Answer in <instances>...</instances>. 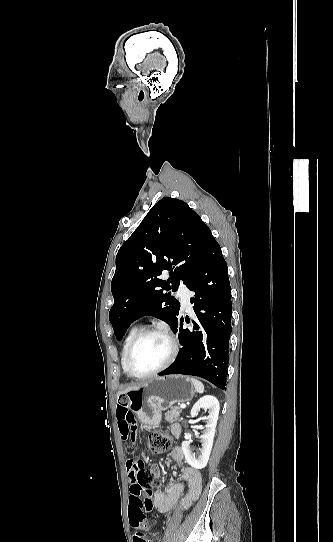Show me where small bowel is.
<instances>
[{
	"label": "small bowel",
	"instance_id": "c3829d8e",
	"mask_svg": "<svg viewBox=\"0 0 333 542\" xmlns=\"http://www.w3.org/2000/svg\"><path fill=\"white\" fill-rule=\"evenodd\" d=\"M116 417L118 419V431L121 440L126 443H134L136 439L137 425L135 424L134 416L130 409L123 404H118L116 408ZM171 432L173 435L179 436L181 433V427L178 424H173L171 426ZM171 457L175 463L182 466L183 451L180 447L173 448L171 451ZM133 466V461L127 463V468L132 479ZM184 483L187 484L188 490L186 495L180 500L179 511L188 509L201 494L202 476L197 469L182 466L181 473L177 480L168 484L164 490L157 489L155 491L153 496V504L156 510L162 513L171 510L180 499V496L184 490ZM128 516L130 525L135 530H140L142 528V523L140 521H136L138 519V510L133 497L129 507Z\"/></svg>",
	"mask_w": 333,
	"mask_h": 542
}]
</instances>
